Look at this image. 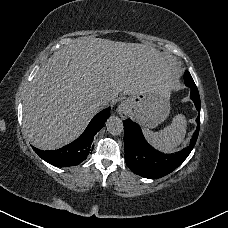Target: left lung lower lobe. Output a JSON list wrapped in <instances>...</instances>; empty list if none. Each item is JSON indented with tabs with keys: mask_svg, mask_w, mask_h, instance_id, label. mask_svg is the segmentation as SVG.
Returning a JSON list of instances; mask_svg holds the SVG:
<instances>
[{
	"mask_svg": "<svg viewBox=\"0 0 228 228\" xmlns=\"http://www.w3.org/2000/svg\"><path fill=\"white\" fill-rule=\"evenodd\" d=\"M183 78L185 85L191 89L190 98L194 102L196 109L200 112L198 89L190 73L184 75ZM196 120L199 125L200 113ZM123 124L126 164L135 174L150 179L161 178L180 166L195 146L199 134V128H197L187 148L176 153L164 154L155 150L147 143L139 125L130 119H126Z\"/></svg>",
	"mask_w": 228,
	"mask_h": 228,
	"instance_id": "left-lung-lower-lobe-1",
	"label": "left lung lower lobe"
}]
</instances>
